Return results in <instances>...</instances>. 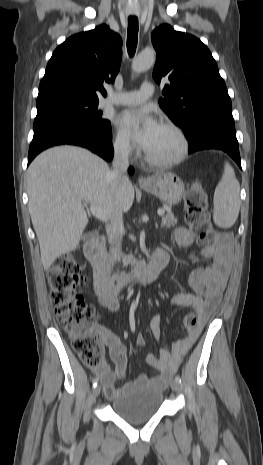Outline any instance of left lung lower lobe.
<instances>
[{
	"instance_id": "obj_1",
	"label": "left lung lower lobe",
	"mask_w": 263,
	"mask_h": 465,
	"mask_svg": "<svg viewBox=\"0 0 263 465\" xmlns=\"http://www.w3.org/2000/svg\"><path fill=\"white\" fill-rule=\"evenodd\" d=\"M188 153L203 149H219L229 154L241 168L234 120L213 116L206 120L191 137Z\"/></svg>"
}]
</instances>
